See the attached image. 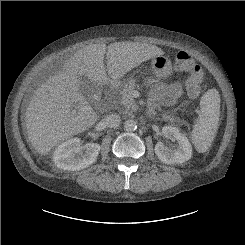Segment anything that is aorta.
<instances>
[{"mask_svg":"<svg viewBox=\"0 0 245 245\" xmlns=\"http://www.w3.org/2000/svg\"><path fill=\"white\" fill-rule=\"evenodd\" d=\"M124 129L128 132L135 131L137 129V122L133 119H128L124 122Z\"/></svg>","mask_w":245,"mask_h":245,"instance_id":"762f6f07","label":"aorta"}]
</instances>
